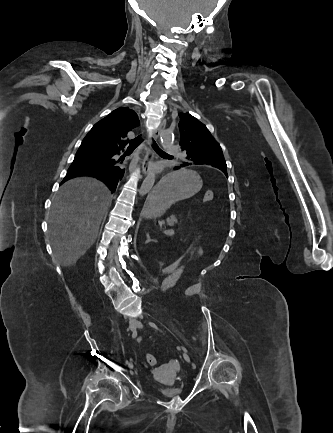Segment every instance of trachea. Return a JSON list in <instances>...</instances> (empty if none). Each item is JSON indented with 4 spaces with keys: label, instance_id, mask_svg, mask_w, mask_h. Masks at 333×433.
<instances>
[{
    "label": "trachea",
    "instance_id": "obj_1",
    "mask_svg": "<svg viewBox=\"0 0 333 433\" xmlns=\"http://www.w3.org/2000/svg\"><path fill=\"white\" fill-rule=\"evenodd\" d=\"M141 142H142V138H141V136H138L137 138L129 141V147L128 148L129 149H135L136 147H138L141 144ZM153 147L158 153L169 156L166 152L162 151L158 147V145L156 144V142L154 140H153Z\"/></svg>",
    "mask_w": 333,
    "mask_h": 433
}]
</instances>
